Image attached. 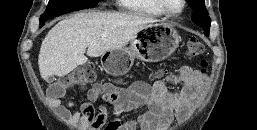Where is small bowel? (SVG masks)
<instances>
[{
    "label": "small bowel",
    "mask_w": 257,
    "mask_h": 130,
    "mask_svg": "<svg viewBox=\"0 0 257 130\" xmlns=\"http://www.w3.org/2000/svg\"><path fill=\"white\" fill-rule=\"evenodd\" d=\"M178 85L179 90H171L172 86ZM206 85L204 74L183 65L175 74L152 85L143 81H135L126 87L95 83L86 93L87 101L78 108L74 102L64 104L62 97L53 98L48 94V99L77 130H165L172 125L175 115L183 116L199 99ZM98 100L110 104L116 118L109 120L104 106L95 109L93 103ZM140 109L143 112L137 117L127 121L120 119L122 115Z\"/></svg>",
    "instance_id": "1"
}]
</instances>
